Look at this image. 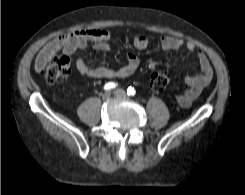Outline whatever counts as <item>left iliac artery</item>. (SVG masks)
Returning <instances> with one entry per match:
<instances>
[{"instance_id": "1", "label": "left iliac artery", "mask_w": 245, "mask_h": 195, "mask_svg": "<svg viewBox=\"0 0 245 195\" xmlns=\"http://www.w3.org/2000/svg\"><path fill=\"white\" fill-rule=\"evenodd\" d=\"M135 93H136V91H135V89H134L133 87H129V88L127 89V94H128L129 96H134Z\"/></svg>"}]
</instances>
